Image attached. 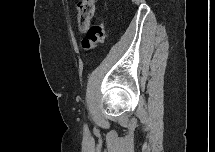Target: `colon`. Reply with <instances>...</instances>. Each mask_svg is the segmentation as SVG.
<instances>
[{
    "label": "colon",
    "mask_w": 215,
    "mask_h": 152,
    "mask_svg": "<svg viewBox=\"0 0 215 152\" xmlns=\"http://www.w3.org/2000/svg\"><path fill=\"white\" fill-rule=\"evenodd\" d=\"M94 14V1L82 0L77 5V20L81 31L87 30L86 37L82 40L84 50H92L97 45L104 42L105 30L104 24L99 23L89 27Z\"/></svg>",
    "instance_id": "obj_1"
}]
</instances>
